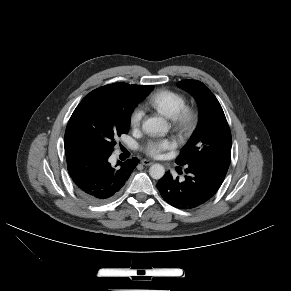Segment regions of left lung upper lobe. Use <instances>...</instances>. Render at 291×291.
Returning <instances> with one entry per match:
<instances>
[{"label": "left lung upper lobe", "instance_id": "obj_1", "mask_svg": "<svg viewBox=\"0 0 291 291\" xmlns=\"http://www.w3.org/2000/svg\"><path fill=\"white\" fill-rule=\"evenodd\" d=\"M178 86L189 91L199 106L197 127L181 149L180 166L204 163L228 170L231 160V132L223 109L213 93L200 81L182 80Z\"/></svg>", "mask_w": 291, "mask_h": 291}]
</instances>
